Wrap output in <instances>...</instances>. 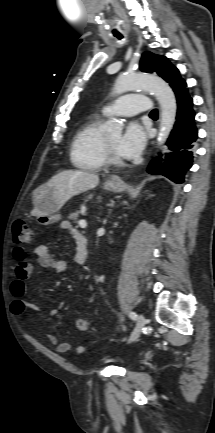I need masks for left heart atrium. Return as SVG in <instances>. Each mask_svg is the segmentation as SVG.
I'll use <instances>...</instances> for the list:
<instances>
[{"label": "left heart atrium", "mask_w": 215, "mask_h": 433, "mask_svg": "<svg viewBox=\"0 0 215 433\" xmlns=\"http://www.w3.org/2000/svg\"><path fill=\"white\" fill-rule=\"evenodd\" d=\"M146 142V133L137 122H130L117 143V152L124 158L136 157Z\"/></svg>", "instance_id": "obj_1"}]
</instances>
